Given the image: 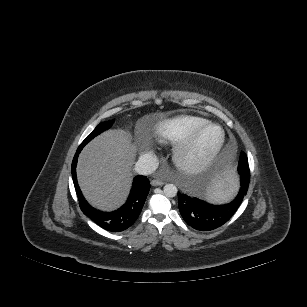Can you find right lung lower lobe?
I'll return each instance as SVG.
<instances>
[{"label": "right lung lower lobe", "instance_id": "1", "mask_svg": "<svg viewBox=\"0 0 307 307\" xmlns=\"http://www.w3.org/2000/svg\"><path fill=\"white\" fill-rule=\"evenodd\" d=\"M82 146L77 149L76 155L72 162V178L76 189L79 205L82 212L92 219L97 225L111 232H120L130 227L138 218L146 197L150 190V183L146 176H136L133 181L132 189L127 202L114 212H102L94 209L85 200L77 183L76 164Z\"/></svg>", "mask_w": 307, "mask_h": 307}]
</instances>
